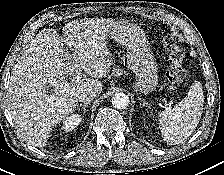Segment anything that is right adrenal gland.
<instances>
[{"instance_id":"1","label":"right adrenal gland","mask_w":224,"mask_h":175,"mask_svg":"<svg viewBox=\"0 0 224 175\" xmlns=\"http://www.w3.org/2000/svg\"><path fill=\"white\" fill-rule=\"evenodd\" d=\"M90 104V102H85L84 104H79V105H77V109H79L80 107H82L83 108V110L84 111H86V107H87V105H89Z\"/></svg>"}]
</instances>
